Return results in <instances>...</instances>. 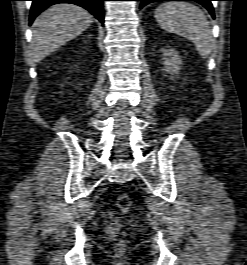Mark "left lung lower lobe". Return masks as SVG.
<instances>
[{
    "label": "left lung lower lobe",
    "instance_id": "left-lung-lower-lobe-1",
    "mask_svg": "<svg viewBox=\"0 0 247 265\" xmlns=\"http://www.w3.org/2000/svg\"><path fill=\"white\" fill-rule=\"evenodd\" d=\"M141 1L140 8L144 7L145 5L152 3V2H160V1H195L203 5L211 14L213 18H215L214 10L211 1L214 0H137Z\"/></svg>",
    "mask_w": 247,
    "mask_h": 265
}]
</instances>
